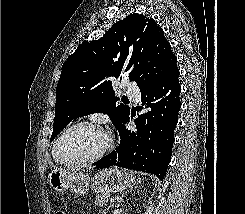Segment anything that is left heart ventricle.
I'll use <instances>...</instances> for the list:
<instances>
[{"label": "left heart ventricle", "instance_id": "obj_1", "mask_svg": "<svg viewBox=\"0 0 245 214\" xmlns=\"http://www.w3.org/2000/svg\"><path fill=\"white\" fill-rule=\"evenodd\" d=\"M105 145L104 135L91 126H80L69 131L60 141L57 155L62 160L91 157Z\"/></svg>", "mask_w": 245, "mask_h": 214}]
</instances>
